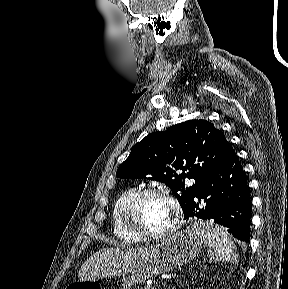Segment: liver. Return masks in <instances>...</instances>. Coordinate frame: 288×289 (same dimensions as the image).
Here are the masks:
<instances>
[{
  "label": "liver",
  "mask_w": 288,
  "mask_h": 289,
  "mask_svg": "<svg viewBox=\"0 0 288 289\" xmlns=\"http://www.w3.org/2000/svg\"><path fill=\"white\" fill-rule=\"evenodd\" d=\"M148 251V247L125 248L117 246L103 248L82 264L79 270V280L94 279L105 273L128 266L145 256Z\"/></svg>",
  "instance_id": "6515ba94"
}]
</instances>
